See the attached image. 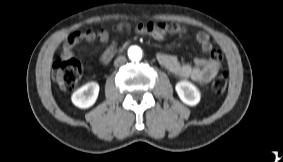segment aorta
<instances>
[{"label": "aorta", "mask_w": 283, "mask_h": 162, "mask_svg": "<svg viewBox=\"0 0 283 162\" xmlns=\"http://www.w3.org/2000/svg\"><path fill=\"white\" fill-rule=\"evenodd\" d=\"M128 57L132 61H139L142 58V50L137 46H132L128 50Z\"/></svg>", "instance_id": "762f6f07"}]
</instances>
